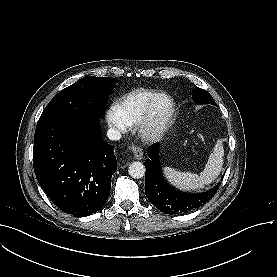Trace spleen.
I'll return each instance as SVG.
<instances>
[{
  "label": "spleen",
  "instance_id": "obj_1",
  "mask_svg": "<svg viewBox=\"0 0 277 277\" xmlns=\"http://www.w3.org/2000/svg\"><path fill=\"white\" fill-rule=\"evenodd\" d=\"M224 149L222 141L218 140L210 154L207 164L200 175L190 172H180L174 168L165 167L163 172L173 185L182 190H196L214 181L222 170Z\"/></svg>",
  "mask_w": 277,
  "mask_h": 277
}]
</instances>
